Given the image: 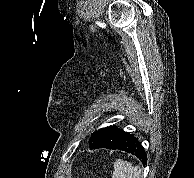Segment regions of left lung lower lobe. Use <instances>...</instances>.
Returning a JSON list of instances; mask_svg holds the SVG:
<instances>
[{
	"instance_id": "left-lung-lower-lobe-1",
	"label": "left lung lower lobe",
	"mask_w": 194,
	"mask_h": 178,
	"mask_svg": "<svg viewBox=\"0 0 194 178\" xmlns=\"http://www.w3.org/2000/svg\"><path fill=\"white\" fill-rule=\"evenodd\" d=\"M89 145L91 149L107 148L126 151L137 156L144 165L147 164V155L141 142L118 127H106L95 131L89 139Z\"/></svg>"
}]
</instances>
